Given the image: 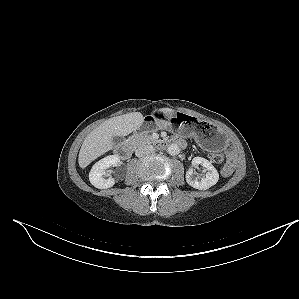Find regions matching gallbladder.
<instances>
[{
    "label": "gallbladder",
    "instance_id": "obj_1",
    "mask_svg": "<svg viewBox=\"0 0 299 299\" xmlns=\"http://www.w3.org/2000/svg\"><path fill=\"white\" fill-rule=\"evenodd\" d=\"M112 139H113L114 143H119L123 140L122 137H120V136H113Z\"/></svg>",
    "mask_w": 299,
    "mask_h": 299
}]
</instances>
